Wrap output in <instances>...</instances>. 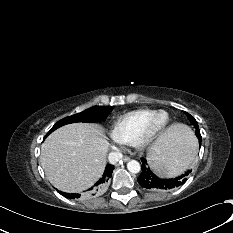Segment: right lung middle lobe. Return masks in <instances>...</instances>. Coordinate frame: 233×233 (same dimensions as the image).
<instances>
[{
  "mask_svg": "<svg viewBox=\"0 0 233 233\" xmlns=\"http://www.w3.org/2000/svg\"><path fill=\"white\" fill-rule=\"evenodd\" d=\"M112 110L111 106H94L89 108L81 113L63 118L58 121L52 129L48 132L46 136H48L51 132L56 130L57 128L75 122H97L102 121L106 118L109 112Z\"/></svg>",
  "mask_w": 233,
  "mask_h": 233,
  "instance_id": "1",
  "label": "right lung middle lobe"
}]
</instances>
